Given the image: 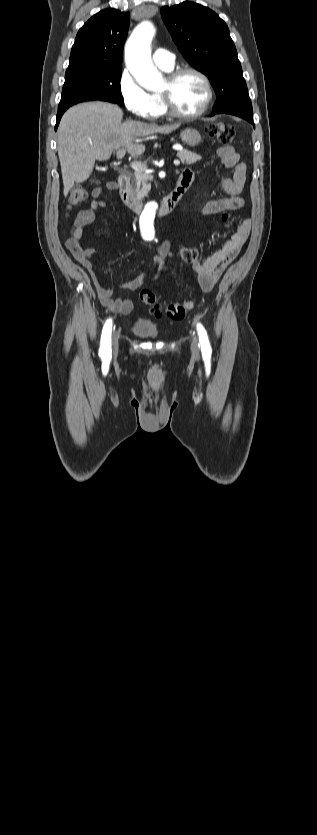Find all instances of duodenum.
<instances>
[{
  "mask_svg": "<svg viewBox=\"0 0 317 835\" xmlns=\"http://www.w3.org/2000/svg\"><path fill=\"white\" fill-rule=\"evenodd\" d=\"M116 185L125 205L134 212H140L144 206V202L130 192L129 177L125 173H122L118 177ZM188 188L189 184L180 179L176 187L159 202V213L166 215L173 212Z\"/></svg>",
  "mask_w": 317,
  "mask_h": 835,
  "instance_id": "410a0bca",
  "label": "duodenum"
}]
</instances>
